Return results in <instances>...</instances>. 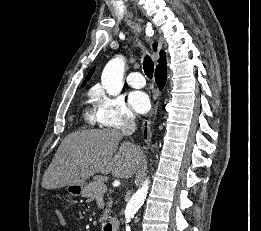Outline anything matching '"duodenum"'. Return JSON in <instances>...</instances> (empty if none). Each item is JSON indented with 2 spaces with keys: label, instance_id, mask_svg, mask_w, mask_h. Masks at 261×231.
I'll return each mask as SVG.
<instances>
[{
  "label": "duodenum",
  "instance_id": "obj_1",
  "mask_svg": "<svg viewBox=\"0 0 261 231\" xmlns=\"http://www.w3.org/2000/svg\"><path fill=\"white\" fill-rule=\"evenodd\" d=\"M119 221L115 218L105 221L102 225V231H118Z\"/></svg>",
  "mask_w": 261,
  "mask_h": 231
}]
</instances>
